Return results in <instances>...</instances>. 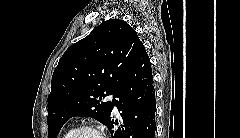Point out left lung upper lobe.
Masks as SVG:
<instances>
[{
    "mask_svg": "<svg viewBox=\"0 0 240 138\" xmlns=\"http://www.w3.org/2000/svg\"><path fill=\"white\" fill-rule=\"evenodd\" d=\"M143 46L135 30L123 20L110 19L70 46L53 73L48 96V138L76 115L92 116L106 124L115 95Z\"/></svg>",
    "mask_w": 240,
    "mask_h": 138,
    "instance_id": "obj_1",
    "label": "left lung upper lobe"
}]
</instances>
